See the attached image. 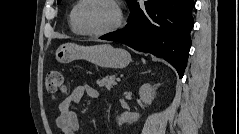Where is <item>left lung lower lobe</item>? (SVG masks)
<instances>
[{
  "label": "left lung lower lobe",
  "mask_w": 239,
  "mask_h": 134,
  "mask_svg": "<svg viewBox=\"0 0 239 134\" xmlns=\"http://www.w3.org/2000/svg\"><path fill=\"white\" fill-rule=\"evenodd\" d=\"M193 0H135L126 27L101 39L115 41L167 60L182 78L191 47Z\"/></svg>",
  "instance_id": "1"
}]
</instances>
